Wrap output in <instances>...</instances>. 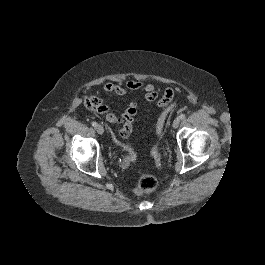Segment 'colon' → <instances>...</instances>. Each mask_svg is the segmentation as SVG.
Wrapping results in <instances>:
<instances>
[{
    "instance_id": "colon-1",
    "label": "colon",
    "mask_w": 265,
    "mask_h": 265,
    "mask_svg": "<svg viewBox=\"0 0 265 265\" xmlns=\"http://www.w3.org/2000/svg\"><path fill=\"white\" fill-rule=\"evenodd\" d=\"M174 93L173 91L168 88L165 90L163 94L164 101L166 102V108L161 113L158 118L156 130L157 133L160 135L163 132L164 124L167 115L173 109L174 104L172 103ZM131 131L128 127H122L120 130V136L123 138H127L130 135ZM157 178L152 174H144L142 175L137 182V185L134 189V193L137 195L148 194L152 192L157 187Z\"/></svg>"
}]
</instances>
